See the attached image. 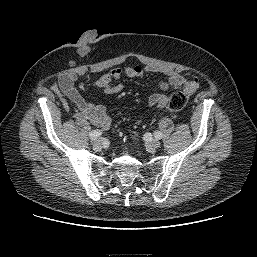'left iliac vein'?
I'll return each instance as SVG.
<instances>
[{"label": "left iliac vein", "mask_w": 257, "mask_h": 257, "mask_svg": "<svg viewBox=\"0 0 257 257\" xmlns=\"http://www.w3.org/2000/svg\"><path fill=\"white\" fill-rule=\"evenodd\" d=\"M147 146L151 150H156L160 146V142L157 139H150L147 142Z\"/></svg>", "instance_id": "4c4485c4"}]
</instances>
